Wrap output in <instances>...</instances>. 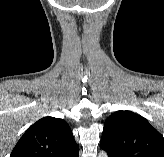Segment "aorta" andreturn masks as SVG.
Wrapping results in <instances>:
<instances>
[{
    "mask_svg": "<svg viewBox=\"0 0 164 157\" xmlns=\"http://www.w3.org/2000/svg\"><path fill=\"white\" fill-rule=\"evenodd\" d=\"M107 156V153L105 151H101L99 153V157H106Z\"/></svg>",
    "mask_w": 164,
    "mask_h": 157,
    "instance_id": "aorta-1",
    "label": "aorta"
}]
</instances>
